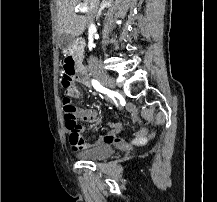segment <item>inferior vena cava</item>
I'll list each match as a JSON object with an SVG mask.
<instances>
[{
  "instance_id": "1",
  "label": "inferior vena cava",
  "mask_w": 217,
  "mask_h": 202,
  "mask_svg": "<svg viewBox=\"0 0 217 202\" xmlns=\"http://www.w3.org/2000/svg\"><path fill=\"white\" fill-rule=\"evenodd\" d=\"M89 12H91V14H94L98 4H99V0H89ZM90 18H92V16H90Z\"/></svg>"
}]
</instances>
